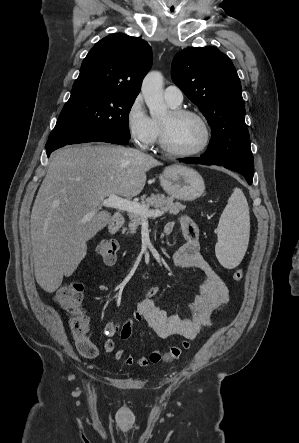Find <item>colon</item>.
I'll return each mask as SVG.
<instances>
[{
  "mask_svg": "<svg viewBox=\"0 0 299 443\" xmlns=\"http://www.w3.org/2000/svg\"><path fill=\"white\" fill-rule=\"evenodd\" d=\"M118 244L115 240L105 239L98 242L95 252L106 266H111L116 261ZM234 281L243 279L242 269L234 270L232 274ZM83 284L72 281L62 285L55 294V301L60 308L69 315V327L75 336H81L88 332L90 319L79 311L83 298Z\"/></svg>",
  "mask_w": 299,
  "mask_h": 443,
  "instance_id": "obj_1",
  "label": "colon"
}]
</instances>
